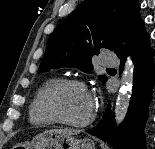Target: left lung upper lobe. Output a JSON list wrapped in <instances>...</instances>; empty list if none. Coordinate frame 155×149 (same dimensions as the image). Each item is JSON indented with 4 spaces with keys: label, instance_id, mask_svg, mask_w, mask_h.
<instances>
[{
    "label": "left lung upper lobe",
    "instance_id": "obj_1",
    "mask_svg": "<svg viewBox=\"0 0 155 149\" xmlns=\"http://www.w3.org/2000/svg\"><path fill=\"white\" fill-rule=\"evenodd\" d=\"M139 9L136 0H85L50 35L38 73L61 67L92 71L93 55L101 48L116 52L140 29Z\"/></svg>",
    "mask_w": 155,
    "mask_h": 149
}]
</instances>
